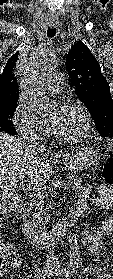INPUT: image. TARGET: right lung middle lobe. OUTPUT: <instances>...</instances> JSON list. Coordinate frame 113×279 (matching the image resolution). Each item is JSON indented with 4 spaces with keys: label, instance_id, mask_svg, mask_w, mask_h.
<instances>
[{
    "label": "right lung middle lobe",
    "instance_id": "dd1d6c3e",
    "mask_svg": "<svg viewBox=\"0 0 113 279\" xmlns=\"http://www.w3.org/2000/svg\"><path fill=\"white\" fill-rule=\"evenodd\" d=\"M16 106L17 105L0 109V132L9 133L11 135L16 134V130L14 129L11 120Z\"/></svg>",
    "mask_w": 113,
    "mask_h": 279
}]
</instances>
